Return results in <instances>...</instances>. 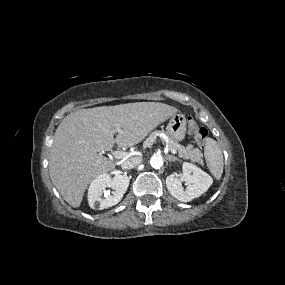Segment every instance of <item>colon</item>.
<instances>
[{
	"mask_svg": "<svg viewBox=\"0 0 285 285\" xmlns=\"http://www.w3.org/2000/svg\"><path fill=\"white\" fill-rule=\"evenodd\" d=\"M188 133L192 135L195 141L202 147H204L208 141V130L200 126L191 117L188 118Z\"/></svg>",
	"mask_w": 285,
	"mask_h": 285,
	"instance_id": "1",
	"label": "colon"
}]
</instances>
